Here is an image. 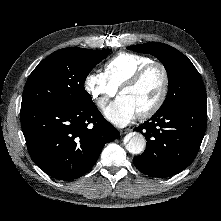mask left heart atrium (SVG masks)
<instances>
[{"label":"left heart atrium","mask_w":221,"mask_h":221,"mask_svg":"<svg viewBox=\"0 0 221 221\" xmlns=\"http://www.w3.org/2000/svg\"><path fill=\"white\" fill-rule=\"evenodd\" d=\"M104 114L110 122L118 126H125L129 124L138 113L132 103L126 97L120 95L106 108Z\"/></svg>","instance_id":"left-heart-atrium-1"}]
</instances>
